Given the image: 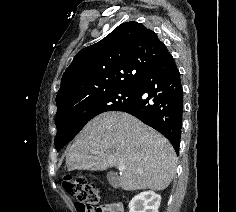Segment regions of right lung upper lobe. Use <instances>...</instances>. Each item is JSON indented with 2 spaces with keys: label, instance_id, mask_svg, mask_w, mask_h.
<instances>
[{
  "label": "right lung upper lobe",
  "instance_id": "cb5924a9",
  "mask_svg": "<svg viewBox=\"0 0 236 212\" xmlns=\"http://www.w3.org/2000/svg\"><path fill=\"white\" fill-rule=\"evenodd\" d=\"M166 50L157 34L141 23L119 25L76 54L62 76L58 110L93 94L137 85Z\"/></svg>",
  "mask_w": 236,
  "mask_h": 212
}]
</instances>
